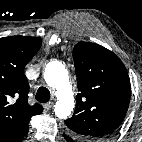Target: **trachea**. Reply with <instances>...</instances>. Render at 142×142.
I'll return each mask as SVG.
<instances>
[{"instance_id": "obj_1", "label": "trachea", "mask_w": 142, "mask_h": 142, "mask_svg": "<svg viewBox=\"0 0 142 142\" xmlns=\"http://www.w3.org/2000/svg\"><path fill=\"white\" fill-rule=\"evenodd\" d=\"M35 98L41 103H47L50 100V91L46 87H40Z\"/></svg>"}]
</instances>
